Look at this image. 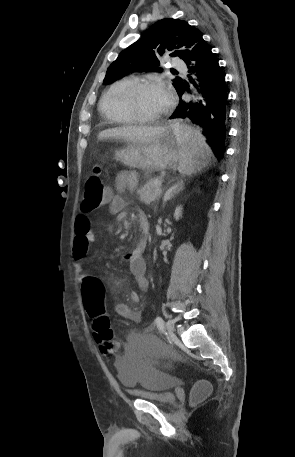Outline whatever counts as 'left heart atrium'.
<instances>
[{"instance_id":"39dd6f15","label":"left heart atrium","mask_w":295,"mask_h":457,"mask_svg":"<svg viewBox=\"0 0 295 457\" xmlns=\"http://www.w3.org/2000/svg\"><path fill=\"white\" fill-rule=\"evenodd\" d=\"M157 90L164 105L168 107L173 101L172 90L166 84L157 85Z\"/></svg>"}]
</instances>
